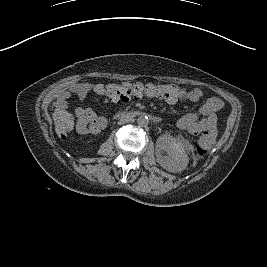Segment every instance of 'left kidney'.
Instances as JSON below:
<instances>
[{"mask_svg": "<svg viewBox=\"0 0 267 267\" xmlns=\"http://www.w3.org/2000/svg\"><path fill=\"white\" fill-rule=\"evenodd\" d=\"M157 163L171 173H179L186 169L189 156L184 146L170 135H162L156 141ZM166 152L167 155H162Z\"/></svg>", "mask_w": 267, "mask_h": 267, "instance_id": "1", "label": "left kidney"}]
</instances>
